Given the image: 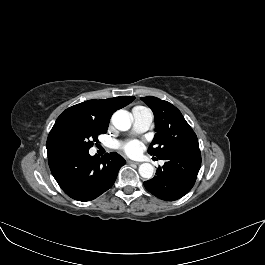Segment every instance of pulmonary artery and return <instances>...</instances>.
<instances>
[{"label": "pulmonary artery", "mask_w": 265, "mask_h": 265, "mask_svg": "<svg viewBox=\"0 0 265 265\" xmlns=\"http://www.w3.org/2000/svg\"><path fill=\"white\" fill-rule=\"evenodd\" d=\"M132 118L133 129L138 133L147 131L152 123V114L144 107H135L132 110Z\"/></svg>", "instance_id": "obj_1"}]
</instances>
